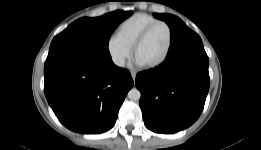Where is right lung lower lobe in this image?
Listing matches in <instances>:
<instances>
[{"label": "right lung lower lobe", "mask_w": 261, "mask_h": 150, "mask_svg": "<svg viewBox=\"0 0 261 150\" xmlns=\"http://www.w3.org/2000/svg\"><path fill=\"white\" fill-rule=\"evenodd\" d=\"M44 77L45 96L59 121L84 134L111 129L133 86L130 72L115 66L110 55L48 54Z\"/></svg>", "instance_id": "98d812e1"}]
</instances>
